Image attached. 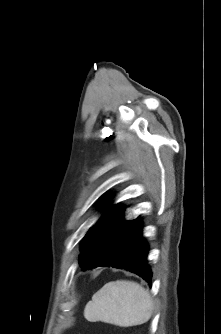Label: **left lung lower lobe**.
<instances>
[{
    "label": "left lung lower lobe",
    "instance_id": "0a47b994",
    "mask_svg": "<svg viewBox=\"0 0 221 334\" xmlns=\"http://www.w3.org/2000/svg\"><path fill=\"white\" fill-rule=\"evenodd\" d=\"M148 249L141 235V220L124 221L119 215L94 249V261L83 270L98 266L125 269L141 276L151 286L152 272L147 265Z\"/></svg>",
    "mask_w": 221,
    "mask_h": 334
}]
</instances>
